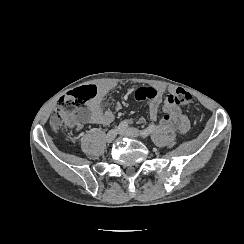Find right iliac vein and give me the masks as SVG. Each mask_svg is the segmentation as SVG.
I'll return each instance as SVG.
<instances>
[{
  "label": "right iliac vein",
  "instance_id": "obj_1",
  "mask_svg": "<svg viewBox=\"0 0 244 244\" xmlns=\"http://www.w3.org/2000/svg\"><path fill=\"white\" fill-rule=\"evenodd\" d=\"M118 134V129H112L108 132V134L106 135V141L108 143L112 142Z\"/></svg>",
  "mask_w": 244,
  "mask_h": 244
}]
</instances>
